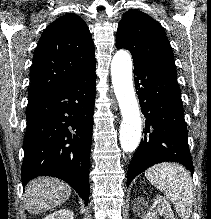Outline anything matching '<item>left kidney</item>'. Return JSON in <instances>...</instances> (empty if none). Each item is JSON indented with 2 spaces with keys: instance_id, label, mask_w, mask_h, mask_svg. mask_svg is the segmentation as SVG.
<instances>
[{
  "instance_id": "1",
  "label": "left kidney",
  "mask_w": 211,
  "mask_h": 219,
  "mask_svg": "<svg viewBox=\"0 0 211 219\" xmlns=\"http://www.w3.org/2000/svg\"><path fill=\"white\" fill-rule=\"evenodd\" d=\"M159 216H164V219H175L170 204L163 196H157L144 219H160Z\"/></svg>"
}]
</instances>
